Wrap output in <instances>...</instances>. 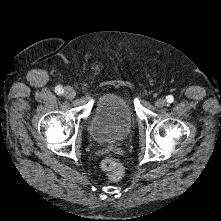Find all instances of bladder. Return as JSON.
Here are the masks:
<instances>
[{
  "label": "bladder",
  "mask_w": 221,
  "mask_h": 221,
  "mask_svg": "<svg viewBox=\"0 0 221 221\" xmlns=\"http://www.w3.org/2000/svg\"><path fill=\"white\" fill-rule=\"evenodd\" d=\"M134 117L130 105L119 94H108L101 98L89 119L91 138L98 143L124 141L133 127Z\"/></svg>",
  "instance_id": "31cf9c89"
}]
</instances>
